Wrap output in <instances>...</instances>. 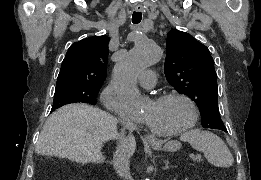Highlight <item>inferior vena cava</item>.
<instances>
[{
  "label": "inferior vena cava",
  "instance_id": "1",
  "mask_svg": "<svg viewBox=\"0 0 261 180\" xmlns=\"http://www.w3.org/2000/svg\"><path fill=\"white\" fill-rule=\"evenodd\" d=\"M127 128H134V126L129 122V124H127ZM130 158L131 156H129L125 148H123V150H121V148H118V152H116V156H115L114 166L119 176H130V168H129Z\"/></svg>",
  "mask_w": 261,
  "mask_h": 180
}]
</instances>
